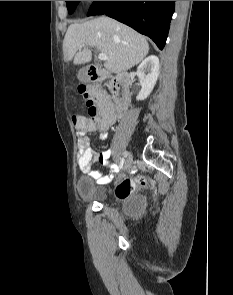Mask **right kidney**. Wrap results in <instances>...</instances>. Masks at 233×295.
I'll return each mask as SVG.
<instances>
[{
  "label": "right kidney",
  "instance_id": "1",
  "mask_svg": "<svg viewBox=\"0 0 233 295\" xmlns=\"http://www.w3.org/2000/svg\"><path fill=\"white\" fill-rule=\"evenodd\" d=\"M159 75V59L151 55L145 58L137 68V76L140 81L141 90L136 97L137 100L146 99L152 92Z\"/></svg>",
  "mask_w": 233,
  "mask_h": 295
}]
</instances>
